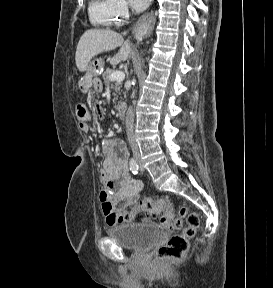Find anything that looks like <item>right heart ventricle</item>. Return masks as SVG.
Instances as JSON below:
<instances>
[{
    "mask_svg": "<svg viewBox=\"0 0 273 288\" xmlns=\"http://www.w3.org/2000/svg\"><path fill=\"white\" fill-rule=\"evenodd\" d=\"M89 17L91 22L97 26L114 27L119 24L110 7L109 0H91Z\"/></svg>",
    "mask_w": 273,
    "mask_h": 288,
    "instance_id": "e07e8e85",
    "label": "right heart ventricle"
}]
</instances>
